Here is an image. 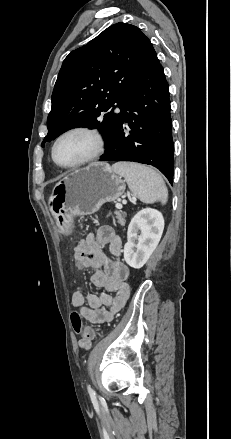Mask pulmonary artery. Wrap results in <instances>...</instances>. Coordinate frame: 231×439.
Wrapping results in <instances>:
<instances>
[{
    "label": "pulmonary artery",
    "mask_w": 231,
    "mask_h": 439,
    "mask_svg": "<svg viewBox=\"0 0 231 439\" xmlns=\"http://www.w3.org/2000/svg\"><path fill=\"white\" fill-rule=\"evenodd\" d=\"M115 112H116V113H118V112H119V109H118V108H116V109H115Z\"/></svg>",
    "instance_id": "pulmonary-artery-1"
}]
</instances>
